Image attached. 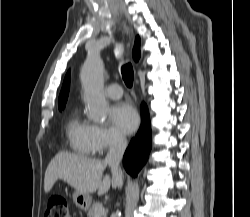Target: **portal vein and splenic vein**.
<instances>
[{
	"instance_id": "1",
	"label": "portal vein and splenic vein",
	"mask_w": 250,
	"mask_h": 217,
	"mask_svg": "<svg viewBox=\"0 0 250 217\" xmlns=\"http://www.w3.org/2000/svg\"><path fill=\"white\" fill-rule=\"evenodd\" d=\"M104 214H105V208L101 206L96 210L95 217H101Z\"/></svg>"
}]
</instances>
